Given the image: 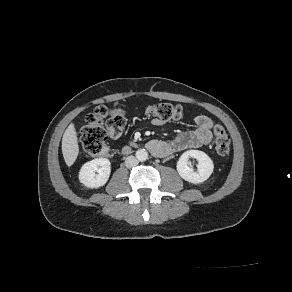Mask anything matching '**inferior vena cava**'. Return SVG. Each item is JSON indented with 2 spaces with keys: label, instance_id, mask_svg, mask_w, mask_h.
Returning <instances> with one entry per match:
<instances>
[{
  "label": "inferior vena cava",
  "instance_id": "1",
  "mask_svg": "<svg viewBox=\"0 0 292 292\" xmlns=\"http://www.w3.org/2000/svg\"><path fill=\"white\" fill-rule=\"evenodd\" d=\"M138 164V160L134 156H128L125 160V166L132 168Z\"/></svg>",
  "mask_w": 292,
  "mask_h": 292
}]
</instances>
